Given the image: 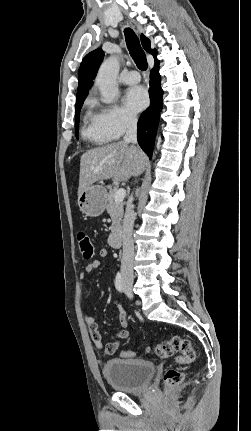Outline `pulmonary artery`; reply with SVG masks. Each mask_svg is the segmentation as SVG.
I'll use <instances>...</instances> for the list:
<instances>
[{
	"label": "pulmonary artery",
	"instance_id": "e3ab8cb5",
	"mask_svg": "<svg viewBox=\"0 0 251 431\" xmlns=\"http://www.w3.org/2000/svg\"><path fill=\"white\" fill-rule=\"evenodd\" d=\"M122 81L125 84H135L140 81V75L137 71L132 70L123 75Z\"/></svg>",
	"mask_w": 251,
	"mask_h": 431
}]
</instances>
